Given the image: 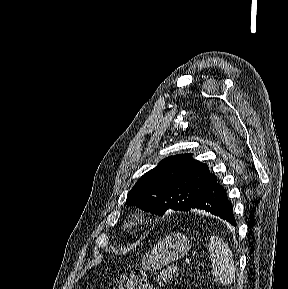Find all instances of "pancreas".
<instances>
[{
  "label": "pancreas",
  "instance_id": "1",
  "mask_svg": "<svg viewBox=\"0 0 288 289\" xmlns=\"http://www.w3.org/2000/svg\"><path fill=\"white\" fill-rule=\"evenodd\" d=\"M172 272H173V270L170 268L162 270V272H160V275L158 276V279H157L158 284L160 286H163L164 283L168 282L169 278H171V276H172Z\"/></svg>",
  "mask_w": 288,
  "mask_h": 289
}]
</instances>
